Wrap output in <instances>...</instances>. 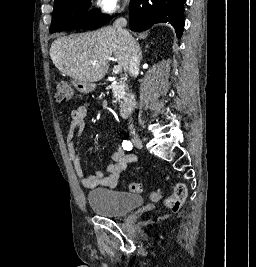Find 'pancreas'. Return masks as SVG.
<instances>
[{
  "label": "pancreas",
  "mask_w": 256,
  "mask_h": 267,
  "mask_svg": "<svg viewBox=\"0 0 256 267\" xmlns=\"http://www.w3.org/2000/svg\"><path fill=\"white\" fill-rule=\"evenodd\" d=\"M108 88L112 90V94L114 98H116V100H113L114 104H116V102H120L123 106L124 102H122V100H125L126 98L125 90H128L126 80H118L117 84H110Z\"/></svg>",
  "instance_id": "1"
}]
</instances>
